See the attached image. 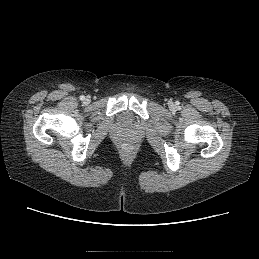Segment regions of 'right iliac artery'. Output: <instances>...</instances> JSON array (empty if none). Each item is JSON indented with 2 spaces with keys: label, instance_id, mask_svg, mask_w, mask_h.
I'll return each mask as SVG.
<instances>
[{
  "label": "right iliac artery",
  "instance_id": "1",
  "mask_svg": "<svg viewBox=\"0 0 259 259\" xmlns=\"http://www.w3.org/2000/svg\"><path fill=\"white\" fill-rule=\"evenodd\" d=\"M85 99V97L82 95V96H80V100H84Z\"/></svg>",
  "mask_w": 259,
  "mask_h": 259
}]
</instances>
